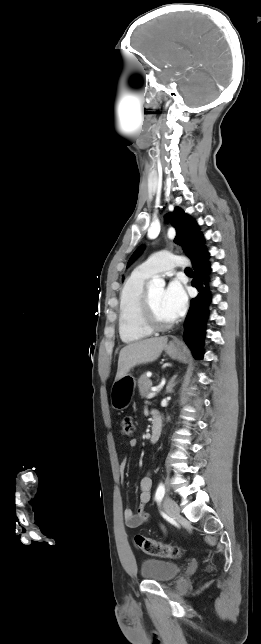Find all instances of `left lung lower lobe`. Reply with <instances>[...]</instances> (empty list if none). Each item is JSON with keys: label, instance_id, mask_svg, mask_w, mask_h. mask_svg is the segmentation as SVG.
Segmentation results:
<instances>
[{"label": "left lung lower lobe", "instance_id": "left-lung-lower-lobe-1", "mask_svg": "<svg viewBox=\"0 0 261 644\" xmlns=\"http://www.w3.org/2000/svg\"><path fill=\"white\" fill-rule=\"evenodd\" d=\"M192 262L195 273L192 286L197 288L199 294L190 301V308L185 319L184 340L192 350L193 356L196 359H201L206 322L209 317V305L212 299L209 287L211 268L208 256Z\"/></svg>", "mask_w": 261, "mask_h": 644}]
</instances>
